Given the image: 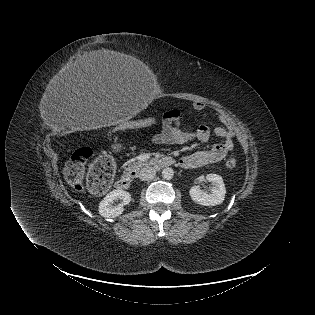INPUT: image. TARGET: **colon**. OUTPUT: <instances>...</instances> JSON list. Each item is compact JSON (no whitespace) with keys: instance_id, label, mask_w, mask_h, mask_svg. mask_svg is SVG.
Returning a JSON list of instances; mask_svg holds the SVG:
<instances>
[{"instance_id":"1","label":"colon","mask_w":315,"mask_h":315,"mask_svg":"<svg viewBox=\"0 0 315 315\" xmlns=\"http://www.w3.org/2000/svg\"><path fill=\"white\" fill-rule=\"evenodd\" d=\"M153 121V119L149 118L137 123L130 122L123 129L131 130L137 127H144L150 125ZM92 155L93 153L90 148L80 147L76 149L65 166V179L75 190L81 191L87 187L95 194H102L109 188L113 180L114 164L109 157L102 156L97 158L92 163L85 180V167ZM236 165L237 161L234 158L226 161V166L230 169L235 168Z\"/></svg>"}]
</instances>
